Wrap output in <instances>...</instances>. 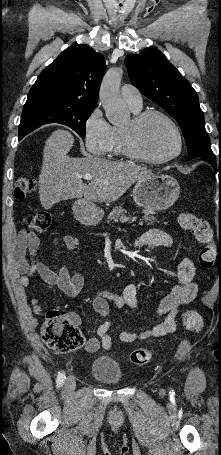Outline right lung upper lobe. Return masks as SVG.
<instances>
[{"label":"right lung upper lobe","mask_w":221,"mask_h":455,"mask_svg":"<svg viewBox=\"0 0 221 455\" xmlns=\"http://www.w3.org/2000/svg\"><path fill=\"white\" fill-rule=\"evenodd\" d=\"M105 71L102 54L86 44L72 45L38 76L25 105L49 103L95 107Z\"/></svg>","instance_id":"cb5924a9"}]
</instances>
